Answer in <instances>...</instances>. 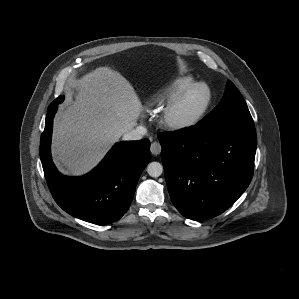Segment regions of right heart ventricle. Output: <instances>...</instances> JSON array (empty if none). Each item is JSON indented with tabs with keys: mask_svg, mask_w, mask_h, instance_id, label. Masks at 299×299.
<instances>
[{
	"mask_svg": "<svg viewBox=\"0 0 299 299\" xmlns=\"http://www.w3.org/2000/svg\"><path fill=\"white\" fill-rule=\"evenodd\" d=\"M195 82V78L191 75H184L172 80L162 89L157 91L147 100V107L153 111L161 110L168 102H170L179 92L190 84Z\"/></svg>",
	"mask_w": 299,
	"mask_h": 299,
	"instance_id": "1",
	"label": "right heart ventricle"
}]
</instances>
